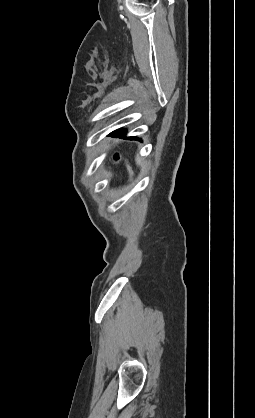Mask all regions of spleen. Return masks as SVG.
Here are the masks:
<instances>
[{"instance_id":"obj_1","label":"spleen","mask_w":255,"mask_h":418,"mask_svg":"<svg viewBox=\"0 0 255 418\" xmlns=\"http://www.w3.org/2000/svg\"><path fill=\"white\" fill-rule=\"evenodd\" d=\"M136 162H137L138 165L142 164V161L138 158L136 159Z\"/></svg>"}]
</instances>
